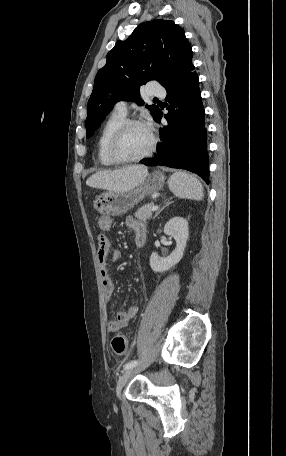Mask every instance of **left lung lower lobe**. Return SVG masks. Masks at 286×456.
<instances>
[{
  "label": "left lung lower lobe",
  "instance_id": "obj_1",
  "mask_svg": "<svg viewBox=\"0 0 286 456\" xmlns=\"http://www.w3.org/2000/svg\"><path fill=\"white\" fill-rule=\"evenodd\" d=\"M167 107L165 118L168 122L160 132L162 143L157 154L143 163L186 169L198 174L209 184V163L207 153V131L204 108L199 89V79L192 60L165 86ZM178 109L175 110V106ZM159 110L156 121L160 122Z\"/></svg>",
  "mask_w": 286,
  "mask_h": 456
}]
</instances>
